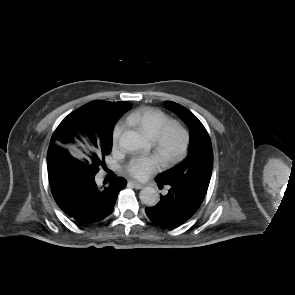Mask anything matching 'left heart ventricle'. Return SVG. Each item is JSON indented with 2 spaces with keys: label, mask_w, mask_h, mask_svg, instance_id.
Returning a JSON list of instances; mask_svg holds the SVG:
<instances>
[{
  "label": "left heart ventricle",
  "mask_w": 295,
  "mask_h": 295,
  "mask_svg": "<svg viewBox=\"0 0 295 295\" xmlns=\"http://www.w3.org/2000/svg\"><path fill=\"white\" fill-rule=\"evenodd\" d=\"M177 143V137L176 136H172L170 139H169V142H168V148L171 149L173 148ZM161 157V156H160ZM162 159V158H161Z\"/></svg>",
  "instance_id": "1"
}]
</instances>
